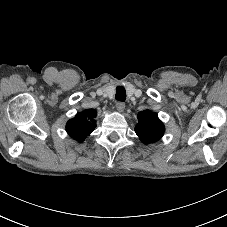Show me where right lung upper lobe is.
I'll return each mask as SVG.
<instances>
[{
	"label": "right lung upper lobe",
	"mask_w": 227,
	"mask_h": 227,
	"mask_svg": "<svg viewBox=\"0 0 227 227\" xmlns=\"http://www.w3.org/2000/svg\"><path fill=\"white\" fill-rule=\"evenodd\" d=\"M96 111L93 109L78 113L75 118L69 120L66 125V131L74 139L82 142L96 127Z\"/></svg>",
	"instance_id": "cb5924a9"
}]
</instances>
